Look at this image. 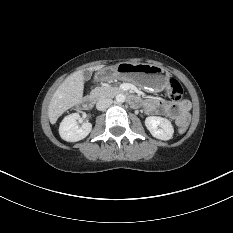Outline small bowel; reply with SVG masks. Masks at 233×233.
<instances>
[{
  "mask_svg": "<svg viewBox=\"0 0 233 233\" xmlns=\"http://www.w3.org/2000/svg\"><path fill=\"white\" fill-rule=\"evenodd\" d=\"M143 108L151 115H165L174 120L178 127L189 123L191 105L187 101L175 105L161 99H146Z\"/></svg>",
  "mask_w": 233,
  "mask_h": 233,
  "instance_id": "obj_1",
  "label": "small bowel"
}]
</instances>
